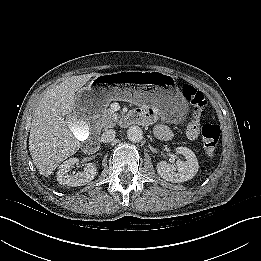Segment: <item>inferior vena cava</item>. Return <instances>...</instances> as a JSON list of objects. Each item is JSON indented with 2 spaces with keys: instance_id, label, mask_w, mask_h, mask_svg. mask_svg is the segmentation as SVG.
<instances>
[{
  "instance_id": "inferior-vena-cava-1",
  "label": "inferior vena cava",
  "mask_w": 261,
  "mask_h": 261,
  "mask_svg": "<svg viewBox=\"0 0 261 261\" xmlns=\"http://www.w3.org/2000/svg\"><path fill=\"white\" fill-rule=\"evenodd\" d=\"M115 134L113 129L106 130L101 135V141L104 143L111 142L115 138Z\"/></svg>"
}]
</instances>
